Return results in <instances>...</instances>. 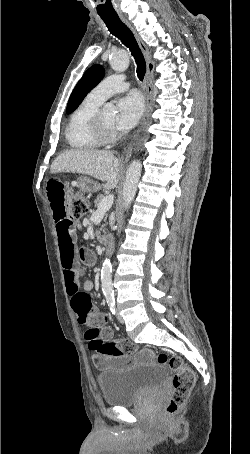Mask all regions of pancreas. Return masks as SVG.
Returning a JSON list of instances; mask_svg holds the SVG:
<instances>
[{
    "label": "pancreas",
    "instance_id": "cf45deb5",
    "mask_svg": "<svg viewBox=\"0 0 250 454\" xmlns=\"http://www.w3.org/2000/svg\"><path fill=\"white\" fill-rule=\"evenodd\" d=\"M105 196L100 194L97 196V198L95 199L94 203L96 206H98V204L100 203V201L104 198Z\"/></svg>",
    "mask_w": 250,
    "mask_h": 454
}]
</instances>
